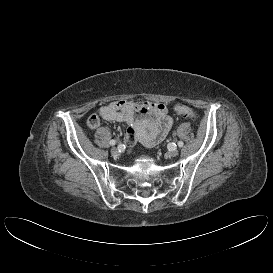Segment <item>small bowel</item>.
I'll list each match as a JSON object with an SVG mask.
<instances>
[{
	"mask_svg": "<svg viewBox=\"0 0 273 273\" xmlns=\"http://www.w3.org/2000/svg\"><path fill=\"white\" fill-rule=\"evenodd\" d=\"M122 122L128 125L125 142L132 148L137 142L146 147H153L163 141L173 125L163 103H135L114 101L101 106L88 119L87 125L94 130L100 120Z\"/></svg>",
	"mask_w": 273,
	"mask_h": 273,
	"instance_id": "1",
	"label": "small bowel"
}]
</instances>
